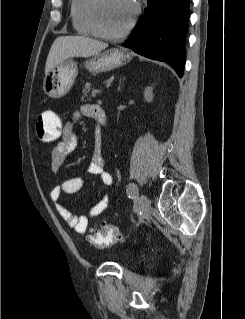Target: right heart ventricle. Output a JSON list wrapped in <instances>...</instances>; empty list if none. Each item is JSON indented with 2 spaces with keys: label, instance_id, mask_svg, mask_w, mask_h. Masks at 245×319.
Returning a JSON list of instances; mask_svg holds the SVG:
<instances>
[{
  "label": "right heart ventricle",
  "instance_id": "e07e8e85",
  "mask_svg": "<svg viewBox=\"0 0 245 319\" xmlns=\"http://www.w3.org/2000/svg\"><path fill=\"white\" fill-rule=\"evenodd\" d=\"M91 0H70V18L75 31L86 36L97 35L89 18Z\"/></svg>",
  "mask_w": 245,
  "mask_h": 319
}]
</instances>
